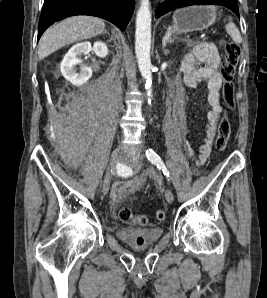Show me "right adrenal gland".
Instances as JSON below:
<instances>
[{
  "instance_id": "obj_1",
  "label": "right adrenal gland",
  "mask_w": 267,
  "mask_h": 298,
  "mask_svg": "<svg viewBox=\"0 0 267 298\" xmlns=\"http://www.w3.org/2000/svg\"><path fill=\"white\" fill-rule=\"evenodd\" d=\"M103 34H109V33H108V31H107V30H105V31L103 32Z\"/></svg>"
}]
</instances>
